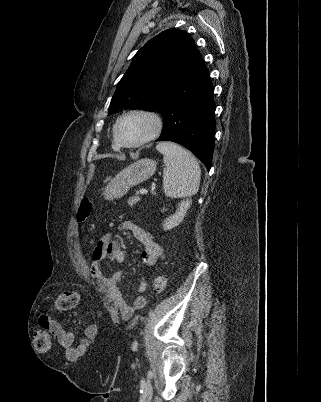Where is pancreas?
Instances as JSON below:
<instances>
[{
	"mask_svg": "<svg viewBox=\"0 0 321 402\" xmlns=\"http://www.w3.org/2000/svg\"><path fill=\"white\" fill-rule=\"evenodd\" d=\"M138 198L137 197H130L129 199H128V204H129V206L130 207H132L133 205H135L137 202H138Z\"/></svg>",
	"mask_w": 321,
	"mask_h": 402,
	"instance_id": "1",
	"label": "pancreas"
}]
</instances>
